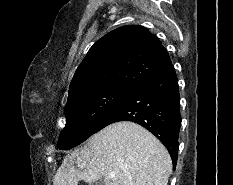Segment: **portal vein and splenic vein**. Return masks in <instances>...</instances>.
Listing matches in <instances>:
<instances>
[{
  "instance_id": "1",
  "label": "portal vein and splenic vein",
  "mask_w": 233,
  "mask_h": 185,
  "mask_svg": "<svg viewBox=\"0 0 233 185\" xmlns=\"http://www.w3.org/2000/svg\"><path fill=\"white\" fill-rule=\"evenodd\" d=\"M79 167H82V166L79 165ZM109 176L112 177V176H114V174L111 173V174H109Z\"/></svg>"
}]
</instances>
